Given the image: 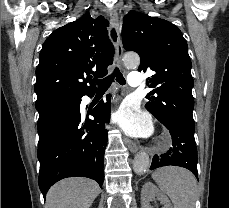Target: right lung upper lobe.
I'll use <instances>...</instances> for the list:
<instances>
[{
	"label": "right lung upper lobe",
	"mask_w": 229,
	"mask_h": 208,
	"mask_svg": "<svg viewBox=\"0 0 229 208\" xmlns=\"http://www.w3.org/2000/svg\"><path fill=\"white\" fill-rule=\"evenodd\" d=\"M108 24L102 16L93 19L86 15L56 29L46 39L36 69V103L95 92L91 77L107 75L114 55Z\"/></svg>",
	"instance_id": "right-lung-upper-lobe-1"
}]
</instances>
